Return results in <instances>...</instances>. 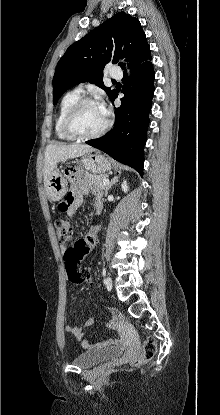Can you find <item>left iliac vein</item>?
I'll return each mask as SVG.
<instances>
[{"instance_id": "1", "label": "left iliac vein", "mask_w": 220, "mask_h": 415, "mask_svg": "<svg viewBox=\"0 0 220 415\" xmlns=\"http://www.w3.org/2000/svg\"><path fill=\"white\" fill-rule=\"evenodd\" d=\"M112 285H113L112 278L110 276H107L106 279H105V286H106L108 291H110L112 289Z\"/></svg>"}]
</instances>
